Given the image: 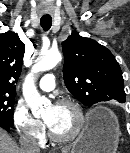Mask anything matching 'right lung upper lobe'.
<instances>
[{
    "label": "right lung upper lobe",
    "mask_w": 130,
    "mask_h": 153,
    "mask_svg": "<svg viewBox=\"0 0 130 153\" xmlns=\"http://www.w3.org/2000/svg\"><path fill=\"white\" fill-rule=\"evenodd\" d=\"M25 45L14 32L0 34V94L15 95Z\"/></svg>",
    "instance_id": "right-lung-upper-lobe-1"
}]
</instances>
